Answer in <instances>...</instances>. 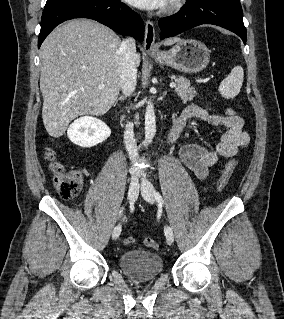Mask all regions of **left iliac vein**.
Segmentation results:
<instances>
[{"label":"left iliac vein","instance_id":"4c4485c4","mask_svg":"<svg viewBox=\"0 0 284 319\" xmlns=\"http://www.w3.org/2000/svg\"><path fill=\"white\" fill-rule=\"evenodd\" d=\"M141 194L143 196V198L153 204L155 203V189L153 187V185L147 181V180H144L143 183H142V186H141ZM164 233H165V236H166V239L169 243H173L174 242V233H173V230L170 226L166 225L164 227Z\"/></svg>","mask_w":284,"mask_h":319}]
</instances>
